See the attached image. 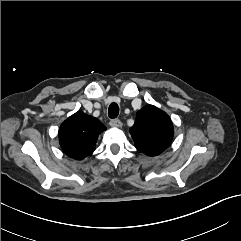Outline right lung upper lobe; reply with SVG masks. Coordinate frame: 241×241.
Returning a JSON list of instances; mask_svg holds the SVG:
<instances>
[{"label":"right lung upper lobe","instance_id":"obj_1","mask_svg":"<svg viewBox=\"0 0 241 241\" xmlns=\"http://www.w3.org/2000/svg\"><path fill=\"white\" fill-rule=\"evenodd\" d=\"M104 130L97 118L78 111L61 124L59 142L69 157L82 160L94 152L98 135Z\"/></svg>","mask_w":241,"mask_h":241}]
</instances>
